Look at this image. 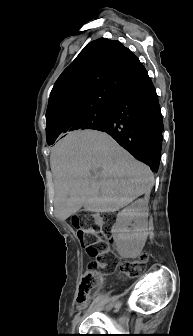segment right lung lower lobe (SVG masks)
<instances>
[{"label":"right lung lower lobe","instance_id":"obj_1","mask_svg":"<svg viewBox=\"0 0 193 336\" xmlns=\"http://www.w3.org/2000/svg\"><path fill=\"white\" fill-rule=\"evenodd\" d=\"M99 131L111 135L152 171L158 170L163 121L156 90L142 64L111 103Z\"/></svg>","mask_w":193,"mask_h":336}]
</instances>
